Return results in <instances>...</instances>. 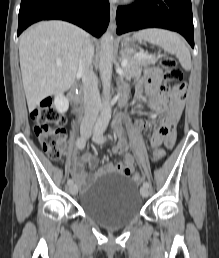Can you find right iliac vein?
Segmentation results:
<instances>
[{
    "label": "right iliac vein",
    "instance_id": "right-iliac-vein-1",
    "mask_svg": "<svg viewBox=\"0 0 219 258\" xmlns=\"http://www.w3.org/2000/svg\"><path fill=\"white\" fill-rule=\"evenodd\" d=\"M69 191H70V193L72 194V195H76L77 194V192H78V187H77V185H71L70 187H69Z\"/></svg>",
    "mask_w": 219,
    "mask_h": 258
}]
</instances>
